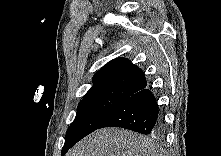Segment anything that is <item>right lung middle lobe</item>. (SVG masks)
<instances>
[{
  "label": "right lung middle lobe",
  "instance_id": "obj_1",
  "mask_svg": "<svg viewBox=\"0 0 221 156\" xmlns=\"http://www.w3.org/2000/svg\"><path fill=\"white\" fill-rule=\"evenodd\" d=\"M124 101V99L108 97L83 98L78 104L74 121L67 129L61 156L83 137L100 128L115 108Z\"/></svg>",
  "mask_w": 221,
  "mask_h": 156
}]
</instances>
